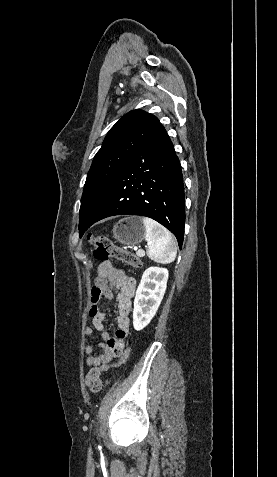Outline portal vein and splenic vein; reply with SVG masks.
<instances>
[{
  "label": "portal vein and splenic vein",
  "instance_id": "obj_1",
  "mask_svg": "<svg viewBox=\"0 0 277 477\" xmlns=\"http://www.w3.org/2000/svg\"><path fill=\"white\" fill-rule=\"evenodd\" d=\"M134 250L136 251L138 256H143L144 255V250L138 249V247H134Z\"/></svg>",
  "mask_w": 277,
  "mask_h": 477
}]
</instances>
